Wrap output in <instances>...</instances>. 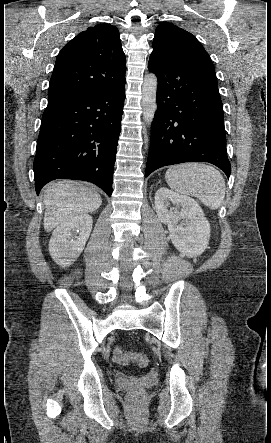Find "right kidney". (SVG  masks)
Wrapping results in <instances>:
<instances>
[{"label": "right kidney", "instance_id": "obj_1", "mask_svg": "<svg viewBox=\"0 0 271 443\" xmlns=\"http://www.w3.org/2000/svg\"><path fill=\"white\" fill-rule=\"evenodd\" d=\"M92 218L89 214H77L57 225L49 241V251L58 265L66 267L82 253L91 233Z\"/></svg>", "mask_w": 271, "mask_h": 443}]
</instances>
